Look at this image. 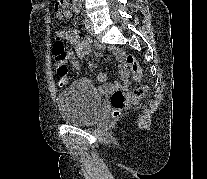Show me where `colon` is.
<instances>
[{"instance_id":"1","label":"colon","mask_w":207,"mask_h":179,"mask_svg":"<svg viewBox=\"0 0 207 179\" xmlns=\"http://www.w3.org/2000/svg\"><path fill=\"white\" fill-rule=\"evenodd\" d=\"M68 0H55L54 13L55 16L61 19L66 11ZM54 52H55V70L60 78V83H66L68 73L67 56L64 51V45L61 38L54 36ZM124 64L130 69L134 79L137 82L143 80V75L140 71L138 62L131 54H125L123 59ZM147 92V86H139L131 92H126L121 89L115 90L110 96V104L113 109V116H119L131 103L139 101Z\"/></svg>"}]
</instances>
